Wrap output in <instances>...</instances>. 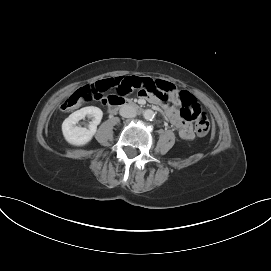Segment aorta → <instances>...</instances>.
I'll use <instances>...</instances> for the list:
<instances>
[{
  "label": "aorta",
  "instance_id": "1",
  "mask_svg": "<svg viewBox=\"0 0 271 271\" xmlns=\"http://www.w3.org/2000/svg\"><path fill=\"white\" fill-rule=\"evenodd\" d=\"M143 116L146 120H152L155 117V113L151 109H147L144 111Z\"/></svg>",
  "mask_w": 271,
  "mask_h": 271
}]
</instances>
